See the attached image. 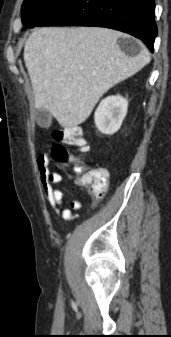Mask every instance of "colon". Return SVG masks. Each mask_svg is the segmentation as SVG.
<instances>
[{"label": "colon", "instance_id": "obj_1", "mask_svg": "<svg viewBox=\"0 0 171 337\" xmlns=\"http://www.w3.org/2000/svg\"><path fill=\"white\" fill-rule=\"evenodd\" d=\"M55 145L51 149L53 158L61 163L78 161L70 156L66 146L79 148L82 152L88 150L86 139L81 129L69 127L53 132ZM81 185L88 187L95 200H101L108 189V176L104 170H91L83 172L78 180Z\"/></svg>", "mask_w": 171, "mask_h": 337}]
</instances>
